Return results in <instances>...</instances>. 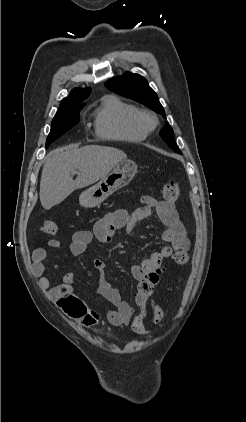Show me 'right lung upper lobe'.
<instances>
[{
	"label": "right lung upper lobe",
	"instance_id": "cb5924a9",
	"mask_svg": "<svg viewBox=\"0 0 246 422\" xmlns=\"http://www.w3.org/2000/svg\"><path fill=\"white\" fill-rule=\"evenodd\" d=\"M91 92L90 88L81 89V88H74L70 95L64 98L61 103L60 107L66 106H73V105H85L83 100H85Z\"/></svg>",
	"mask_w": 246,
	"mask_h": 422
}]
</instances>
